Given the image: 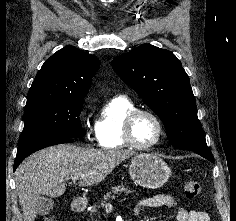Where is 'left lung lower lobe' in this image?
I'll return each mask as SVG.
<instances>
[{
  "label": "left lung lower lobe",
  "mask_w": 236,
  "mask_h": 221,
  "mask_svg": "<svg viewBox=\"0 0 236 221\" xmlns=\"http://www.w3.org/2000/svg\"><path fill=\"white\" fill-rule=\"evenodd\" d=\"M193 152L203 156L204 158L208 159L211 162H214V158L209 148H203Z\"/></svg>",
  "instance_id": "0a47b994"
}]
</instances>
